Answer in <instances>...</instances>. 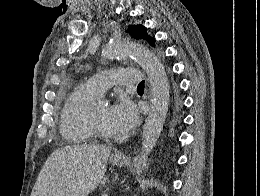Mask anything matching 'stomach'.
Returning <instances> with one entry per match:
<instances>
[{"mask_svg": "<svg viewBox=\"0 0 260 196\" xmlns=\"http://www.w3.org/2000/svg\"><path fill=\"white\" fill-rule=\"evenodd\" d=\"M110 162L113 166H123L125 160H113V158H111Z\"/></svg>", "mask_w": 260, "mask_h": 196, "instance_id": "0dacf381", "label": "stomach"}]
</instances>
